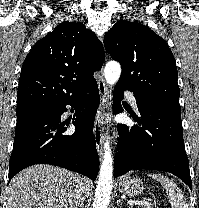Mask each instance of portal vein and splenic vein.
I'll return each instance as SVG.
<instances>
[{
	"label": "portal vein and splenic vein",
	"instance_id": "portal-vein-and-splenic-vein-1",
	"mask_svg": "<svg viewBox=\"0 0 199 208\" xmlns=\"http://www.w3.org/2000/svg\"><path fill=\"white\" fill-rule=\"evenodd\" d=\"M129 205H151V203L148 201V199H144L143 201H129Z\"/></svg>",
	"mask_w": 199,
	"mask_h": 208
}]
</instances>
